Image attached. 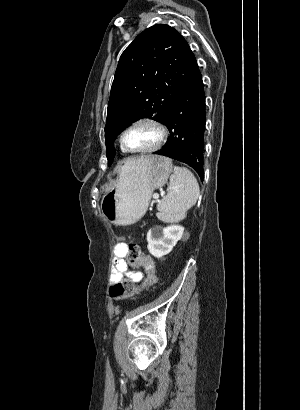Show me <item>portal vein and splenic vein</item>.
<instances>
[{"mask_svg": "<svg viewBox=\"0 0 300 410\" xmlns=\"http://www.w3.org/2000/svg\"><path fill=\"white\" fill-rule=\"evenodd\" d=\"M153 199L158 200V199H159V194H158V193H154V194H153Z\"/></svg>", "mask_w": 300, "mask_h": 410, "instance_id": "1", "label": "portal vein and splenic vein"}]
</instances>
